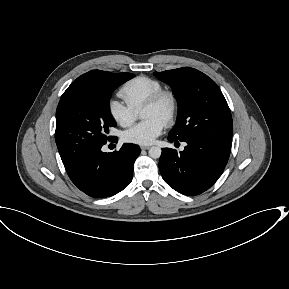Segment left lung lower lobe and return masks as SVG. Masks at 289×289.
<instances>
[{
    "mask_svg": "<svg viewBox=\"0 0 289 289\" xmlns=\"http://www.w3.org/2000/svg\"><path fill=\"white\" fill-rule=\"evenodd\" d=\"M171 142H178L168 136ZM187 146L178 153L163 148L159 169L164 181L184 195H198L209 189L220 177L230 155V141L189 138Z\"/></svg>",
    "mask_w": 289,
    "mask_h": 289,
    "instance_id": "obj_1",
    "label": "left lung lower lobe"
}]
</instances>
